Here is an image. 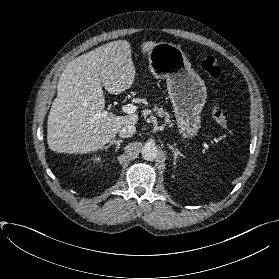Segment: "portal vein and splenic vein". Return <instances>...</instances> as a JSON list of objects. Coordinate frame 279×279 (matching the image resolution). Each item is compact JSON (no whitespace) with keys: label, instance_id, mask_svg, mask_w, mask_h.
Masks as SVG:
<instances>
[{"label":"portal vein and splenic vein","instance_id":"obj_1","mask_svg":"<svg viewBox=\"0 0 279 279\" xmlns=\"http://www.w3.org/2000/svg\"><path fill=\"white\" fill-rule=\"evenodd\" d=\"M122 111L127 114H133L137 111V107L133 104H126L122 107ZM108 114H112V113L104 112L103 114H98L97 117L100 118Z\"/></svg>","mask_w":279,"mask_h":279}]
</instances>
